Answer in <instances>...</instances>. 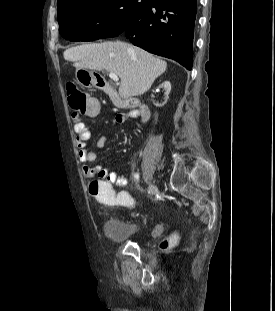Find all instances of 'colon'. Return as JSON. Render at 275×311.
Wrapping results in <instances>:
<instances>
[{
	"label": "colon",
	"mask_w": 275,
	"mask_h": 311,
	"mask_svg": "<svg viewBox=\"0 0 275 311\" xmlns=\"http://www.w3.org/2000/svg\"><path fill=\"white\" fill-rule=\"evenodd\" d=\"M67 98L70 107L80 112L82 117H95L96 113L100 112V107L97 101H95V97H87V94L74 84L67 86ZM115 187V183H108L107 178H100L99 183L94 181L90 184V191L96 202H115ZM118 196L117 203L127 205L131 191L119 190ZM169 244L170 242L165 240L161 243V248L166 249Z\"/></svg>",
	"instance_id": "5ec220e1"
}]
</instances>
